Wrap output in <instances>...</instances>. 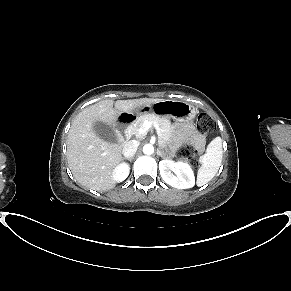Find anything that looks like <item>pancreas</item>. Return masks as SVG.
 Returning <instances> with one entry per match:
<instances>
[{"instance_id":"cf45deb5","label":"pancreas","mask_w":291,"mask_h":291,"mask_svg":"<svg viewBox=\"0 0 291 291\" xmlns=\"http://www.w3.org/2000/svg\"><path fill=\"white\" fill-rule=\"evenodd\" d=\"M145 121H150L155 123L158 126V136L159 143L161 146L165 145L166 142L171 137V122L165 117H160L155 114H144L138 117L132 125L128 127V131L131 134L136 135L138 138L142 137V134L139 133L140 129L143 128Z\"/></svg>"}]
</instances>
